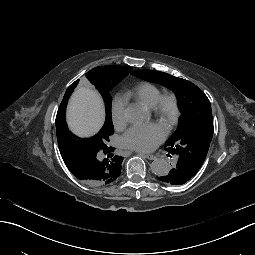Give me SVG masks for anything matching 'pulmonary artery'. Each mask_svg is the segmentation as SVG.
<instances>
[{
    "label": "pulmonary artery",
    "mask_w": 255,
    "mask_h": 255,
    "mask_svg": "<svg viewBox=\"0 0 255 255\" xmlns=\"http://www.w3.org/2000/svg\"><path fill=\"white\" fill-rule=\"evenodd\" d=\"M169 159H170L171 162L176 163V162L179 161L180 156H179L178 153L173 152V153L170 154Z\"/></svg>",
    "instance_id": "1"
}]
</instances>
